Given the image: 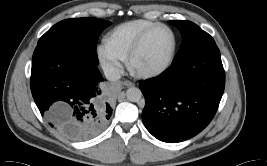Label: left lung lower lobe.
<instances>
[{"label": "left lung lower lobe", "mask_w": 267, "mask_h": 166, "mask_svg": "<svg viewBox=\"0 0 267 166\" xmlns=\"http://www.w3.org/2000/svg\"><path fill=\"white\" fill-rule=\"evenodd\" d=\"M139 87L147 130L163 142L187 140L210 123L222 98L225 72L219 49L216 44L202 47Z\"/></svg>", "instance_id": "left-lung-lower-lobe-1"}]
</instances>
